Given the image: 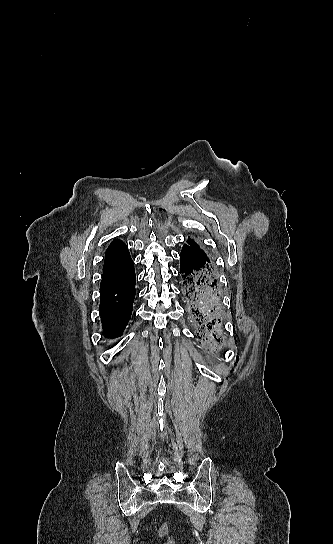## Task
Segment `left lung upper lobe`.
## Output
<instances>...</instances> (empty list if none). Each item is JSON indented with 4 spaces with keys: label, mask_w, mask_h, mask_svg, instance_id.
<instances>
[{
    "label": "left lung upper lobe",
    "mask_w": 333,
    "mask_h": 544,
    "mask_svg": "<svg viewBox=\"0 0 333 544\" xmlns=\"http://www.w3.org/2000/svg\"><path fill=\"white\" fill-rule=\"evenodd\" d=\"M185 245H189V246H191V247L197 249V250H198L205 258H207L208 260H210L209 257L207 256V254L204 252V250H202V249L200 248V246H199L194 240H192L190 237H188L187 244H185Z\"/></svg>",
    "instance_id": "obj_1"
}]
</instances>
